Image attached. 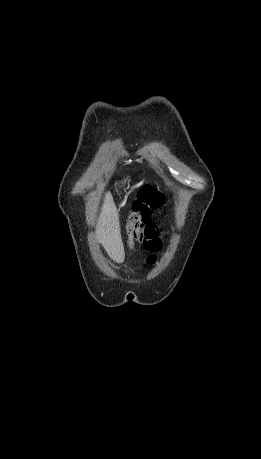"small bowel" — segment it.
I'll use <instances>...</instances> for the list:
<instances>
[{"mask_svg": "<svg viewBox=\"0 0 261 459\" xmlns=\"http://www.w3.org/2000/svg\"><path fill=\"white\" fill-rule=\"evenodd\" d=\"M134 240L141 242L143 247L150 253V255L148 256L146 260V263L148 265L154 264L156 261V253L160 250L162 246V241L160 237L158 238H138L137 234H135Z\"/></svg>", "mask_w": 261, "mask_h": 459, "instance_id": "obj_1", "label": "small bowel"}]
</instances>
